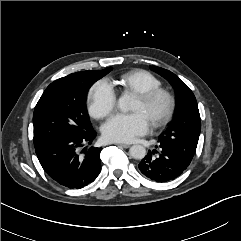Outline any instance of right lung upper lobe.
Wrapping results in <instances>:
<instances>
[{"instance_id":"cb5924a9","label":"right lung upper lobe","mask_w":241,"mask_h":241,"mask_svg":"<svg viewBox=\"0 0 241 241\" xmlns=\"http://www.w3.org/2000/svg\"><path fill=\"white\" fill-rule=\"evenodd\" d=\"M106 69H104V70H100V71H98V72H104Z\"/></svg>"}]
</instances>
